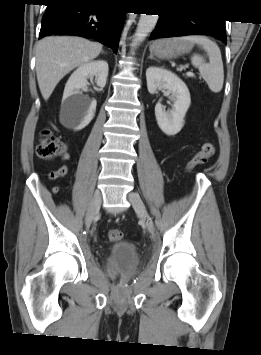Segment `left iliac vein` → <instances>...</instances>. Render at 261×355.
Here are the masks:
<instances>
[{
  "instance_id": "1",
  "label": "left iliac vein",
  "mask_w": 261,
  "mask_h": 355,
  "mask_svg": "<svg viewBox=\"0 0 261 355\" xmlns=\"http://www.w3.org/2000/svg\"><path fill=\"white\" fill-rule=\"evenodd\" d=\"M128 199L131 202L133 208L135 209L136 213L139 217L144 221L146 228L150 233H154L155 228L153 222L150 220L149 214L145 208V205L140 198L139 194L131 192L128 195Z\"/></svg>"
}]
</instances>
